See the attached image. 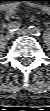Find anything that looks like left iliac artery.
Segmentation results:
<instances>
[{
	"instance_id": "1",
	"label": "left iliac artery",
	"mask_w": 50,
	"mask_h": 111,
	"mask_svg": "<svg viewBox=\"0 0 50 111\" xmlns=\"http://www.w3.org/2000/svg\"><path fill=\"white\" fill-rule=\"evenodd\" d=\"M29 30L31 31V33L35 36H40L41 33H40V30L39 28L35 27V26H30L29 27Z\"/></svg>"
}]
</instances>
